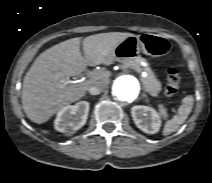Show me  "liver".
I'll list each match as a JSON object with an SVG mask.
<instances>
[{
    "instance_id": "6515ba94",
    "label": "liver",
    "mask_w": 212,
    "mask_h": 183,
    "mask_svg": "<svg viewBox=\"0 0 212 183\" xmlns=\"http://www.w3.org/2000/svg\"><path fill=\"white\" fill-rule=\"evenodd\" d=\"M132 33L109 32L83 39L84 57L80 52L81 38L76 37L56 44L41 53L23 80L22 105L27 117L42 124L63 107L83 96L97 81H107L108 70L97 72L82 82H69L68 77L81 74L87 66L109 61L111 52Z\"/></svg>"
}]
</instances>
